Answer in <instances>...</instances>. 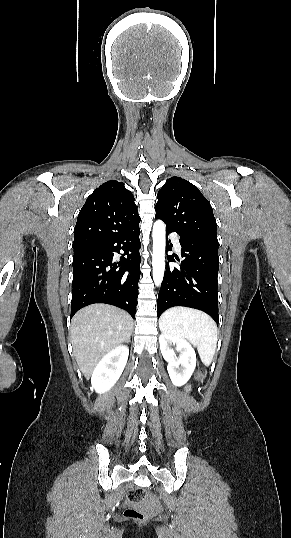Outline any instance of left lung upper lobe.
<instances>
[{
	"label": "left lung upper lobe",
	"mask_w": 291,
	"mask_h": 538,
	"mask_svg": "<svg viewBox=\"0 0 291 538\" xmlns=\"http://www.w3.org/2000/svg\"><path fill=\"white\" fill-rule=\"evenodd\" d=\"M157 219L181 236L218 242L217 224L208 200L199 189L180 177L169 178L159 190Z\"/></svg>",
	"instance_id": "1"
}]
</instances>
